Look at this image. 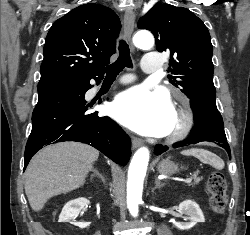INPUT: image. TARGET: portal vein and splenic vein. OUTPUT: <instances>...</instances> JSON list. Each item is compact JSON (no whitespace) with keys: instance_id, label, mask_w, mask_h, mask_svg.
I'll use <instances>...</instances> for the list:
<instances>
[{"instance_id":"1","label":"portal vein and splenic vein","mask_w":250,"mask_h":235,"mask_svg":"<svg viewBox=\"0 0 250 235\" xmlns=\"http://www.w3.org/2000/svg\"><path fill=\"white\" fill-rule=\"evenodd\" d=\"M191 181H192V177H188V178L184 179V182H186V183H189Z\"/></svg>"}]
</instances>
